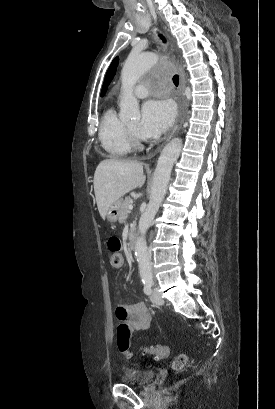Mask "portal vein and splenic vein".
<instances>
[{"mask_svg":"<svg viewBox=\"0 0 275 409\" xmlns=\"http://www.w3.org/2000/svg\"><path fill=\"white\" fill-rule=\"evenodd\" d=\"M129 209H130V211H131V209H133V205H129Z\"/></svg>","mask_w":275,"mask_h":409,"instance_id":"portal-vein-and-splenic-vein-1","label":"portal vein and splenic vein"}]
</instances>
